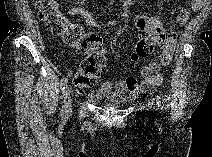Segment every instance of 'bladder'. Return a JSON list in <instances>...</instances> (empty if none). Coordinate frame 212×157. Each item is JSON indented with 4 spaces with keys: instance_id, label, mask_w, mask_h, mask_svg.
<instances>
[{
    "instance_id": "31cf9c89",
    "label": "bladder",
    "mask_w": 212,
    "mask_h": 157,
    "mask_svg": "<svg viewBox=\"0 0 212 157\" xmlns=\"http://www.w3.org/2000/svg\"><path fill=\"white\" fill-rule=\"evenodd\" d=\"M128 102L129 100L123 96H115L106 99L101 103V105L112 109H118L127 105Z\"/></svg>"
}]
</instances>
